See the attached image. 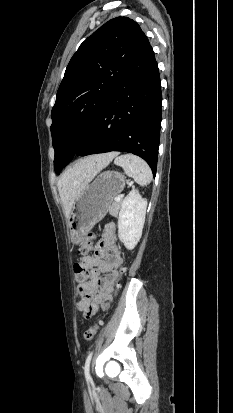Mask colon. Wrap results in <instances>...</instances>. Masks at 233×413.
<instances>
[{
	"label": "colon",
	"instance_id": "colon-1",
	"mask_svg": "<svg viewBox=\"0 0 233 413\" xmlns=\"http://www.w3.org/2000/svg\"><path fill=\"white\" fill-rule=\"evenodd\" d=\"M95 239V234L90 232L86 235L85 241L83 242L82 246L80 247L79 253L81 255H87L94 250L93 240ZM124 268H121L120 274L123 272ZM74 272L76 276V280L78 283L82 284L85 283L89 279L90 271L87 267H85L82 263H76L74 265ZM100 322H96L93 326L89 327L84 332V339L87 341H91L99 328Z\"/></svg>",
	"mask_w": 233,
	"mask_h": 413
}]
</instances>
